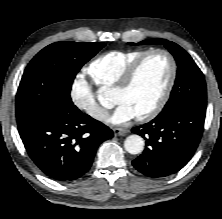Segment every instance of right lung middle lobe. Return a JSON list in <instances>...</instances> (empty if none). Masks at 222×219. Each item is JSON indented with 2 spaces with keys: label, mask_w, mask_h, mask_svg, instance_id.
<instances>
[{
  "label": "right lung middle lobe",
  "mask_w": 222,
  "mask_h": 219,
  "mask_svg": "<svg viewBox=\"0 0 222 219\" xmlns=\"http://www.w3.org/2000/svg\"><path fill=\"white\" fill-rule=\"evenodd\" d=\"M104 46L65 41L42 49L22 76L16 95L17 122L33 118L55 102H72L70 91L77 72Z\"/></svg>",
  "instance_id": "1"
}]
</instances>
